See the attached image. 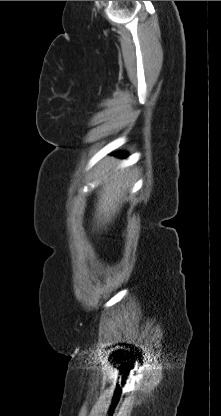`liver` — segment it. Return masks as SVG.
<instances>
[{
    "label": "liver",
    "instance_id": "1",
    "mask_svg": "<svg viewBox=\"0 0 221 416\" xmlns=\"http://www.w3.org/2000/svg\"><path fill=\"white\" fill-rule=\"evenodd\" d=\"M126 176L124 171L113 172L105 179L102 188L98 193L97 214L98 223H106L114 217L122 204L125 191Z\"/></svg>",
    "mask_w": 221,
    "mask_h": 416
}]
</instances>
